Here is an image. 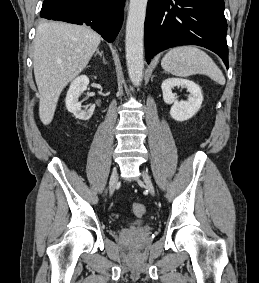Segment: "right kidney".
Returning a JSON list of instances; mask_svg holds the SVG:
<instances>
[{
    "label": "right kidney",
    "instance_id": "obj_1",
    "mask_svg": "<svg viewBox=\"0 0 259 283\" xmlns=\"http://www.w3.org/2000/svg\"><path fill=\"white\" fill-rule=\"evenodd\" d=\"M89 78L86 75H81L74 79L69 87L66 95V108L75 118L80 120H89L93 115L95 105L90 106L87 110L81 109V103L78 102L81 94L87 89Z\"/></svg>",
    "mask_w": 259,
    "mask_h": 283
}]
</instances>
